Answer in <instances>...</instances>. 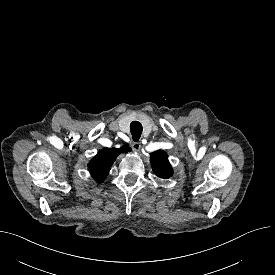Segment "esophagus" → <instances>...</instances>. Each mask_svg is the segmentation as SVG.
Listing matches in <instances>:
<instances>
[{
	"mask_svg": "<svg viewBox=\"0 0 275 275\" xmlns=\"http://www.w3.org/2000/svg\"><path fill=\"white\" fill-rule=\"evenodd\" d=\"M131 146H132V149L135 151H139L141 148V144L139 142H133Z\"/></svg>",
	"mask_w": 275,
	"mask_h": 275,
	"instance_id": "1",
	"label": "esophagus"
}]
</instances>
